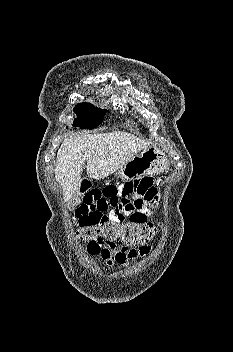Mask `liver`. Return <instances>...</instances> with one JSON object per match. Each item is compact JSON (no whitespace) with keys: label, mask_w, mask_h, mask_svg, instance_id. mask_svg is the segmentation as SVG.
I'll return each instance as SVG.
<instances>
[{"label":"liver","mask_w":233,"mask_h":352,"mask_svg":"<svg viewBox=\"0 0 233 352\" xmlns=\"http://www.w3.org/2000/svg\"><path fill=\"white\" fill-rule=\"evenodd\" d=\"M149 143L124 131L84 134L64 138L56 159L55 178L62 186L64 201L79 192L83 166L95 180L116 172Z\"/></svg>","instance_id":"1"}]
</instances>
